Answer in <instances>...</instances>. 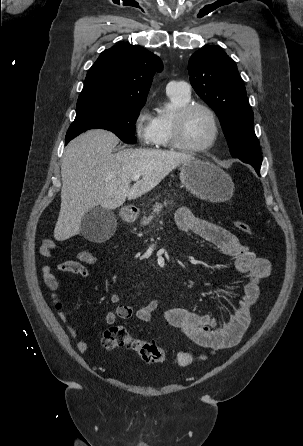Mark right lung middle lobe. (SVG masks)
Segmentation results:
<instances>
[{
  "label": "right lung middle lobe",
  "instance_id": "dd1d6c3e",
  "mask_svg": "<svg viewBox=\"0 0 303 446\" xmlns=\"http://www.w3.org/2000/svg\"><path fill=\"white\" fill-rule=\"evenodd\" d=\"M143 106L94 103L77 106V114L66 134V144L89 129H106L125 143H134L135 123Z\"/></svg>",
  "mask_w": 303,
  "mask_h": 446
}]
</instances>
